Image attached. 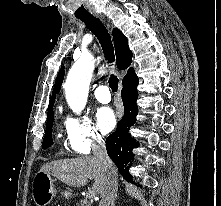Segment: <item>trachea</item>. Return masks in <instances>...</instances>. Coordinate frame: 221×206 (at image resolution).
Segmentation results:
<instances>
[{
	"instance_id": "1",
	"label": "trachea",
	"mask_w": 221,
	"mask_h": 206,
	"mask_svg": "<svg viewBox=\"0 0 221 206\" xmlns=\"http://www.w3.org/2000/svg\"><path fill=\"white\" fill-rule=\"evenodd\" d=\"M82 22L86 24L89 30L97 37L101 47L103 49L104 55L108 63L114 62V48L111 40V36L108 30L103 25V23L96 17L92 15L77 17ZM109 86L113 92L118 90V78L116 75H111L109 77Z\"/></svg>"
}]
</instances>
